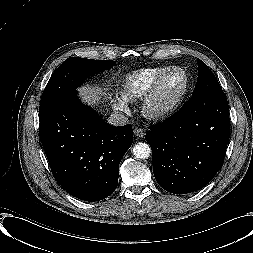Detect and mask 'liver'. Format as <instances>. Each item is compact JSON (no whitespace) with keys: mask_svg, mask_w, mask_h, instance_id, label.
<instances>
[{"mask_svg":"<svg viewBox=\"0 0 253 253\" xmlns=\"http://www.w3.org/2000/svg\"><path fill=\"white\" fill-rule=\"evenodd\" d=\"M78 92L82 100L92 106L99 103L100 95L102 94L99 88L92 87L90 85L78 88Z\"/></svg>","mask_w":253,"mask_h":253,"instance_id":"1","label":"liver"}]
</instances>
